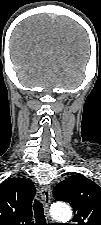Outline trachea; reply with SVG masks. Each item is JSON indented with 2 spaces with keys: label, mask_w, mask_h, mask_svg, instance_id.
I'll return each instance as SVG.
<instances>
[{
  "label": "trachea",
  "mask_w": 101,
  "mask_h": 225,
  "mask_svg": "<svg viewBox=\"0 0 101 225\" xmlns=\"http://www.w3.org/2000/svg\"><path fill=\"white\" fill-rule=\"evenodd\" d=\"M34 214L36 219V225H47L43 205L39 200H35L34 202Z\"/></svg>",
  "instance_id": "obj_1"
}]
</instances>
